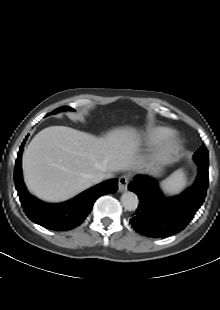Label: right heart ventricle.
<instances>
[{"mask_svg": "<svg viewBox=\"0 0 220 310\" xmlns=\"http://www.w3.org/2000/svg\"><path fill=\"white\" fill-rule=\"evenodd\" d=\"M172 134V131L167 128L157 127L148 129L145 133V138L149 144L159 145Z\"/></svg>", "mask_w": 220, "mask_h": 310, "instance_id": "1", "label": "right heart ventricle"}]
</instances>
